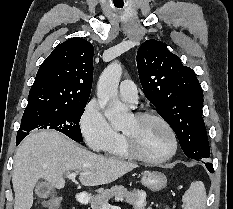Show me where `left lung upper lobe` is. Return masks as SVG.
<instances>
[{"label": "left lung upper lobe", "instance_id": "1", "mask_svg": "<svg viewBox=\"0 0 233 209\" xmlns=\"http://www.w3.org/2000/svg\"><path fill=\"white\" fill-rule=\"evenodd\" d=\"M137 67L147 99L174 130L185 155L197 161L208 158L203 91L194 71L183 66L167 44L154 39L139 47Z\"/></svg>", "mask_w": 233, "mask_h": 209}]
</instances>
